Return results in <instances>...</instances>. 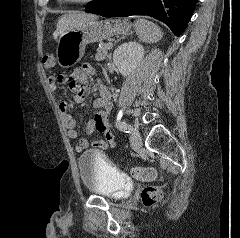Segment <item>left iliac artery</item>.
I'll return each mask as SVG.
<instances>
[{
    "mask_svg": "<svg viewBox=\"0 0 240 238\" xmlns=\"http://www.w3.org/2000/svg\"><path fill=\"white\" fill-rule=\"evenodd\" d=\"M118 128L119 130L124 131L126 133H129L130 131L133 130V128L130 125L126 124L125 122H119Z\"/></svg>",
    "mask_w": 240,
    "mask_h": 238,
    "instance_id": "left-iliac-artery-1",
    "label": "left iliac artery"
}]
</instances>
